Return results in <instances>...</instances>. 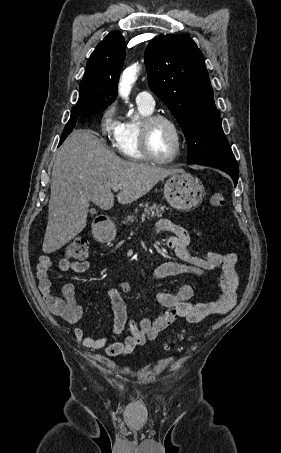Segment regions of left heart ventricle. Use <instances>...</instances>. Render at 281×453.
<instances>
[{
    "mask_svg": "<svg viewBox=\"0 0 281 453\" xmlns=\"http://www.w3.org/2000/svg\"><path fill=\"white\" fill-rule=\"evenodd\" d=\"M175 137L172 130L165 124L159 123L152 134V147L159 158H167L172 154Z\"/></svg>",
    "mask_w": 281,
    "mask_h": 453,
    "instance_id": "obj_1",
    "label": "left heart ventricle"
}]
</instances>
